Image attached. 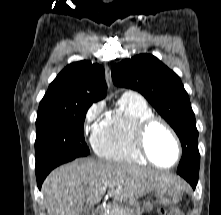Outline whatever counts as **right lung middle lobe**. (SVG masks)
I'll use <instances>...</instances> for the list:
<instances>
[{
    "instance_id": "obj_1",
    "label": "right lung middle lobe",
    "mask_w": 221,
    "mask_h": 215,
    "mask_svg": "<svg viewBox=\"0 0 221 215\" xmlns=\"http://www.w3.org/2000/svg\"><path fill=\"white\" fill-rule=\"evenodd\" d=\"M92 103L40 104L36 120V169L89 154L83 125Z\"/></svg>"
}]
</instances>
